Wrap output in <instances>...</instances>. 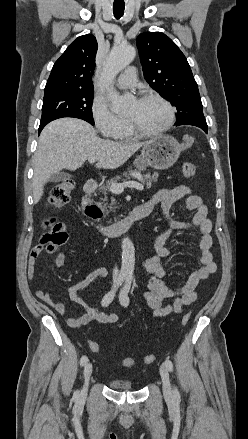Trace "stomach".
<instances>
[{"label": "stomach", "instance_id": "1", "mask_svg": "<svg viewBox=\"0 0 248 439\" xmlns=\"http://www.w3.org/2000/svg\"><path fill=\"white\" fill-rule=\"evenodd\" d=\"M181 144L172 136L162 135L152 138L141 151L142 162L157 170L170 168L179 158Z\"/></svg>", "mask_w": 248, "mask_h": 439}]
</instances>
